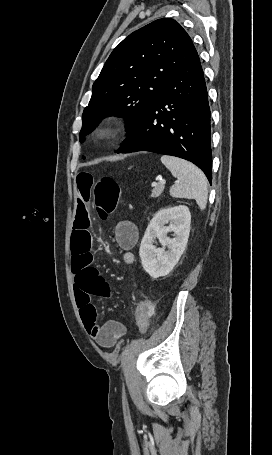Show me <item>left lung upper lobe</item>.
Returning a JSON list of instances; mask_svg holds the SVG:
<instances>
[{"label": "left lung upper lobe", "mask_w": 272, "mask_h": 455, "mask_svg": "<svg viewBox=\"0 0 272 455\" xmlns=\"http://www.w3.org/2000/svg\"><path fill=\"white\" fill-rule=\"evenodd\" d=\"M197 56L191 38L173 19H158L131 33L112 51L93 84L80 141L111 115L124 117L129 133L170 78Z\"/></svg>", "instance_id": "1"}]
</instances>
